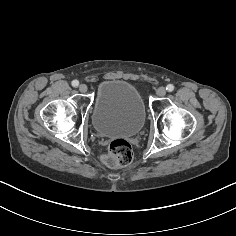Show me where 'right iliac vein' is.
<instances>
[{"mask_svg":"<svg viewBox=\"0 0 236 236\" xmlns=\"http://www.w3.org/2000/svg\"><path fill=\"white\" fill-rule=\"evenodd\" d=\"M87 90H88V87H87L86 84H80L79 85V91L80 92L85 93V92H87Z\"/></svg>","mask_w":236,"mask_h":236,"instance_id":"right-iliac-vein-1","label":"right iliac vein"}]
</instances>
